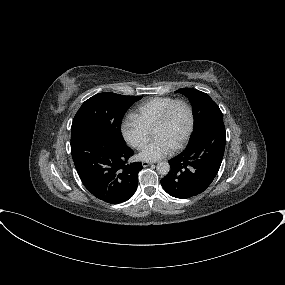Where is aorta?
<instances>
[{"label": "aorta", "instance_id": "762f6f07", "mask_svg": "<svg viewBox=\"0 0 285 285\" xmlns=\"http://www.w3.org/2000/svg\"><path fill=\"white\" fill-rule=\"evenodd\" d=\"M157 171L161 175H167L170 171V165L166 161L159 162L157 164Z\"/></svg>", "mask_w": 285, "mask_h": 285}]
</instances>
